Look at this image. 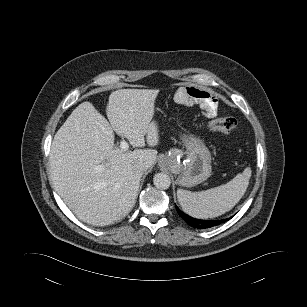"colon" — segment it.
<instances>
[{
	"mask_svg": "<svg viewBox=\"0 0 307 307\" xmlns=\"http://www.w3.org/2000/svg\"><path fill=\"white\" fill-rule=\"evenodd\" d=\"M237 127L238 122L232 117L215 118L207 124L209 130L219 131L226 134L233 133Z\"/></svg>",
	"mask_w": 307,
	"mask_h": 307,
	"instance_id": "1",
	"label": "colon"
}]
</instances>
